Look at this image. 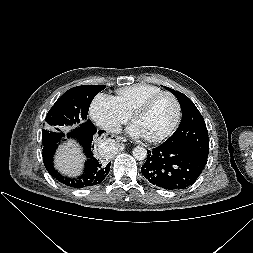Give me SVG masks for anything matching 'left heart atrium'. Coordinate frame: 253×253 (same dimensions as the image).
Listing matches in <instances>:
<instances>
[{"label":"left heart atrium","instance_id":"39dd6f15","mask_svg":"<svg viewBox=\"0 0 253 253\" xmlns=\"http://www.w3.org/2000/svg\"><path fill=\"white\" fill-rule=\"evenodd\" d=\"M128 133L135 138H146L145 133L135 123L128 128Z\"/></svg>","mask_w":253,"mask_h":253}]
</instances>
